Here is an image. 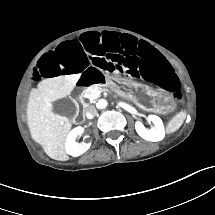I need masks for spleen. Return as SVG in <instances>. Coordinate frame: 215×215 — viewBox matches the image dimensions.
I'll return each mask as SVG.
<instances>
[{
	"label": "spleen",
	"instance_id": "3e777b00",
	"mask_svg": "<svg viewBox=\"0 0 215 215\" xmlns=\"http://www.w3.org/2000/svg\"><path fill=\"white\" fill-rule=\"evenodd\" d=\"M185 118H186V113L184 112H180L175 117H173V119L169 121L166 127V133L171 134L177 131L183 124Z\"/></svg>",
	"mask_w": 215,
	"mask_h": 215
}]
</instances>
